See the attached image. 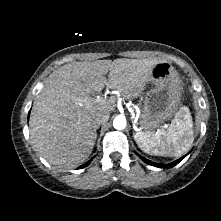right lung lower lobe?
<instances>
[{"label":"right lung lower lobe","mask_w":221,"mask_h":221,"mask_svg":"<svg viewBox=\"0 0 221 221\" xmlns=\"http://www.w3.org/2000/svg\"><path fill=\"white\" fill-rule=\"evenodd\" d=\"M92 159H93V158H92ZM92 159H90V160H89L88 162H86L85 164L79 166L78 169H81V168L86 167V166L91 162Z\"/></svg>","instance_id":"obj_1"}]
</instances>
